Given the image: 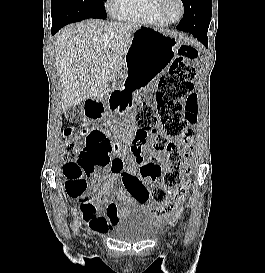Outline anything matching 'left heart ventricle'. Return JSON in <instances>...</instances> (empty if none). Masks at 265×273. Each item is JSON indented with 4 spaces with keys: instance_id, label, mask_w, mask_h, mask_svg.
<instances>
[{
    "instance_id": "1",
    "label": "left heart ventricle",
    "mask_w": 265,
    "mask_h": 273,
    "mask_svg": "<svg viewBox=\"0 0 265 273\" xmlns=\"http://www.w3.org/2000/svg\"><path fill=\"white\" fill-rule=\"evenodd\" d=\"M164 10L168 18L176 19L180 15L181 7L178 0H166Z\"/></svg>"
}]
</instances>
